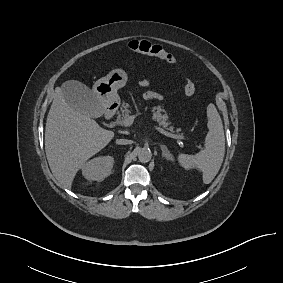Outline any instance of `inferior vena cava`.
<instances>
[{"instance_id":"inferior-vena-cava-1","label":"inferior vena cava","mask_w":283,"mask_h":283,"mask_svg":"<svg viewBox=\"0 0 283 283\" xmlns=\"http://www.w3.org/2000/svg\"><path fill=\"white\" fill-rule=\"evenodd\" d=\"M116 143L120 145H126V144H131L132 141L128 139H118L116 140Z\"/></svg>"}]
</instances>
